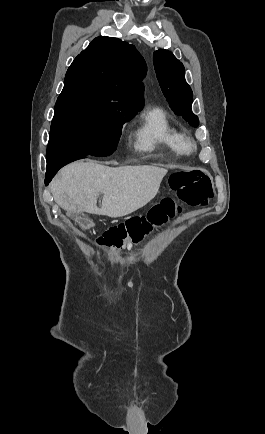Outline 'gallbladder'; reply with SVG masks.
Here are the masks:
<instances>
[{
    "instance_id": "bac80fb5",
    "label": "gallbladder",
    "mask_w": 265,
    "mask_h": 434,
    "mask_svg": "<svg viewBox=\"0 0 265 434\" xmlns=\"http://www.w3.org/2000/svg\"><path fill=\"white\" fill-rule=\"evenodd\" d=\"M77 220L80 226H85V225L87 226L90 223L89 220H87L85 215L83 214L78 215Z\"/></svg>"
}]
</instances>
